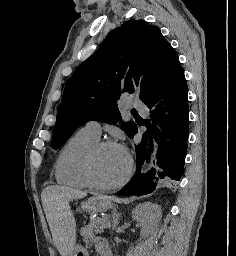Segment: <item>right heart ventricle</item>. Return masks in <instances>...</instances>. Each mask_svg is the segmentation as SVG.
Masks as SVG:
<instances>
[{"label": "right heart ventricle", "instance_id": "e07e8e85", "mask_svg": "<svg viewBox=\"0 0 236 256\" xmlns=\"http://www.w3.org/2000/svg\"><path fill=\"white\" fill-rule=\"evenodd\" d=\"M99 140L83 129L77 131L60 152L55 163L56 181L67 187L88 189L91 186L86 177V162Z\"/></svg>", "mask_w": 236, "mask_h": 256}]
</instances>
